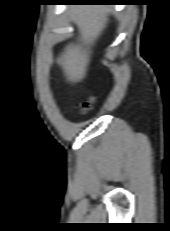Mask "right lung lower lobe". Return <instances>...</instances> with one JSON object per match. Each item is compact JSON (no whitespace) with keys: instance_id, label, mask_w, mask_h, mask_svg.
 <instances>
[{"instance_id":"right-lung-lower-lobe-1","label":"right lung lower lobe","mask_w":170,"mask_h":231,"mask_svg":"<svg viewBox=\"0 0 170 231\" xmlns=\"http://www.w3.org/2000/svg\"><path fill=\"white\" fill-rule=\"evenodd\" d=\"M63 2H67V1H79V2H87V3H98V2H113L116 0H61Z\"/></svg>"}]
</instances>
